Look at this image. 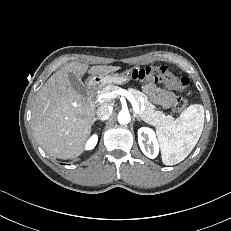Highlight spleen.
Returning <instances> with one entry per match:
<instances>
[{
  "label": "spleen",
  "instance_id": "obj_1",
  "mask_svg": "<svg viewBox=\"0 0 231 231\" xmlns=\"http://www.w3.org/2000/svg\"><path fill=\"white\" fill-rule=\"evenodd\" d=\"M204 117L203 106L193 104L173 124L157 128L165 165L178 164L191 153L202 134Z\"/></svg>",
  "mask_w": 231,
  "mask_h": 231
}]
</instances>
